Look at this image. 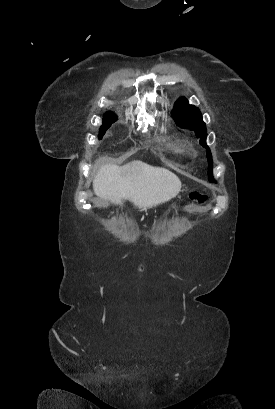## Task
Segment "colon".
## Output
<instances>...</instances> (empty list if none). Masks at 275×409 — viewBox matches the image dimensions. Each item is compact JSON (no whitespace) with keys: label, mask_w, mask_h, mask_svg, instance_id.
I'll list each match as a JSON object with an SVG mask.
<instances>
[{"label":"colon","mask_w":275,"mask_h":409,"mask_svg":"<svg viewBox=\"0 0 275 409\" xmlns=\"http://www.w3.org/2000/svg\"><path fill=\"white\" fill-rule=\"evenodd\" d=\"M206 200L207 198L197 191H194L189 195V201L205 202Z\"/></svg>","instance_id":"5ec220e1"}]
</instances>
